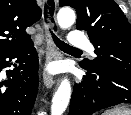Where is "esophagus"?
Returning a JSON list of instances; mask_svg holds the SVG:
<instances>
[{"label":"esophagus","mask_w":131,"mask_h":115,"mask_svg":"<svg viewBox=\"0 0 131 115\" xmlns=\"http://www.w3.org/2000/svg\"><path fill=\"white\" fill-rule=\"evenodd\" d=\"M56 0H44L43 1V26H44V40L46 43V63L50 62L53 59L61 58L60 52L57 50L50 29L57 34L58 33V24L56 20ZM43 82L47 88H51L54 85V78L46 71L43 72Z\"/></svg>","instance_id":"34e87169"}]
</instances>
